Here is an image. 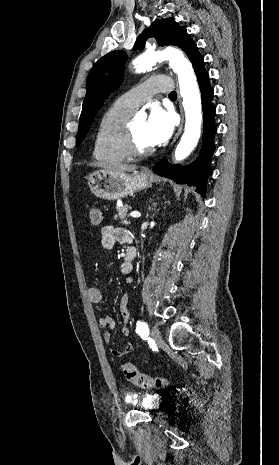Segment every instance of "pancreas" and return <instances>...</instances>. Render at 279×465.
<instances>
[{"mask_svg": "<svg viewBox=\"0 0 279 465\" xmlns=\"http://www.w3.org/2000/svg\"><path fill=\"white\" fill-rule=\"evenodd\" d=\"M130 207L128 205H123L116 208L117 214L115 215L116 220H120L122 224L128 225L129 221L127 220L128 210Z\"/></svg>", "mask_w": 279, "mask_h": 465, "instance_id": "pancreas-1", "label": "pancreas"}]
</instances>
